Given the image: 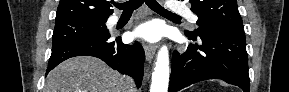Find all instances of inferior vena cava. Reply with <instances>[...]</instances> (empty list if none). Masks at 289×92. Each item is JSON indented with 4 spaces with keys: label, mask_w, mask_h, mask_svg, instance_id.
Listing matches in <instances>:
<instances>
[{
    "label": "inferior vena cava",
    "mask_w": 289,
    "mask_h": 92,
    "mask_svg": "<svg viewBox=\"0 0 289 92\" xmlns=\"http://www.w3.org/2000/svg\"><path fill=\"white\" fill-rule=\"evenodd\" d=\"M127 79H128V81H129V83H130L131 89H135V88H134V83H133L132 79H130V78H127Z\"/></svg>",
    "instance_id": "obj_1"
}]
</instances>
